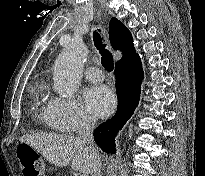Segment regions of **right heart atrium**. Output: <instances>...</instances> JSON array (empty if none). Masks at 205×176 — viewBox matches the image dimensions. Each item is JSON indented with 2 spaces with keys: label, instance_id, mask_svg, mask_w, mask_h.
<instances>
[{
  "label": "right heart atrium",
  "instance_id": "d8ad5b80",
  "mask_svg": "<svg viewBox=\"0 0 205 176\" xmlns=\"http://www.w3.org/2000/svg\"><path fill=\"white\" fill-rule=\"evenodd\" d=\"M48 111L55 126L69 132L89 128L95 122L86 109L76 99L72 98H51Z\"/></svg>",
  "mask_w": 205,
  "mask_h": 176
}]
</instances>
